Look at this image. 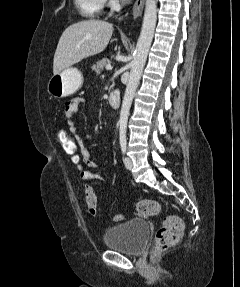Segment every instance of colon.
<instances>
[{"instance_id": "1", "label": "colon", "mask_w": 240, "mask_h": 287, "mask_svg": "<svg viewBox=\"0 0 240 287\" xmlns=\"http://www.w3.org/2000/svg\"><path fill=\"white\" fill-rule=\"evenodd\" d=\"M56 140L63 153L69 158L71 163L77 168L81 178L85 181L93 180L90 169L84 163L75 135L68 125H61L56 131ZM85 200L89 214L97 215V197L92 186L85 187ZM137 212L142 216H154L161 212V205L156 200L143 199L136 204ZM123 215H115L114 221H122ZM184 224L178 216H168L163 225L156 233L153 257L177 244L183 235Z\"/></svg>"}]
</instances>
